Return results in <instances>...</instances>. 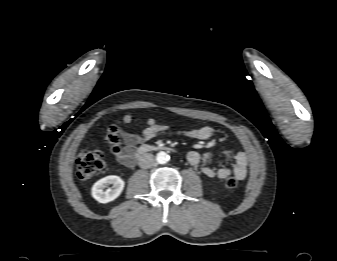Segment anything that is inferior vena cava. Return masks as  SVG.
Listing matches in <instances>:
<instances>
[{
    "instance_id": "obj_1",
    "label": "inferior vena cava",
    "mask_w": 337,
    "mask_h": 261,
    "mask_svg": "<svg viewBox=\"0 0 337 261\" xmlns=\"http://www.w3.org/2000/svg\"><path fill=\"white\" fill-rule=\"evenodd\" d=\"M138 164L141 168L144 169L151 168L155 164V158L151 153H144L140 155Z\"/></svg>"
}]
</instances>
